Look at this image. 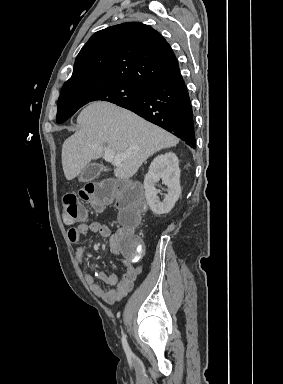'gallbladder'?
Returning a JSON list of instances; mask_svg holds the SVG:
<instances>
[{"mask_svg": "<svg viewBox=\"0 0 283 384\" xmlns=\"http://www.w3.org/2000/svg\"><path fill=\"white\" fill-rule=\"evenodd\" d=\"M101 168L97 165H90L89 168H86L84 172H82L79 182H90V180H93L94 177H97L99 175L98 170Z\"/></svg>", "mask_w": 283, "mask_h": 384, "instance_id": "1", "label": "gallbladder"}]
</instances>
